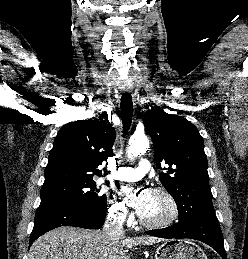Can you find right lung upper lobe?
<instances>
[{"label":"right lung upper lobe","mask_w":248,"mask_h":259,"mask_svg":"<svg viewBox=\"0 0 248 259\" xmlns=\"http://www.w3.org/2000/svg\"><path fill=\"white\" fill-rule=\"evenodd\" d=\"M115 137L105 112L99 118L65 124L50 151L44 183L101 175L97 167L112 155Z\"/></svg>","instance_id":"cb5924a9"}]
</instances>
